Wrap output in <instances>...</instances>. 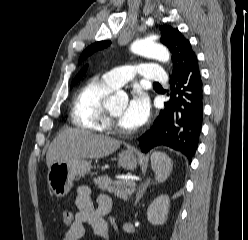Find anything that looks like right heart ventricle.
<instances>
[{
  "label": "right heart ventricle",
  "mask_w": 248,
  "mask_h": 240,
  "mask_svg": "<svg viewBox=\"0 0 248 240\" xmlns=\"http://www.w3.org/2000/svg\"><path fill=\"white\" fill-rule=\"evenodd\" d=\"M115 89L103 78H93L81 88L73 102L72 121L77 127L101 132L106 129L104 101Z\"/></svg>",
  "instance_id": "e07e8e85"
}]
</instances>
